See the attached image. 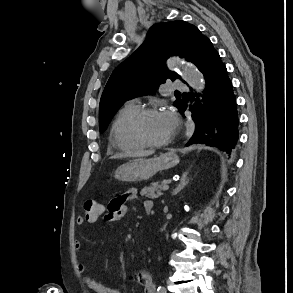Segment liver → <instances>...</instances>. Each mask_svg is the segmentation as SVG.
<instances>
[{
  "mask_svg": "<svg viewBox=\"0 0 293 293\" xmlns=\"http://www.w3.org/2000/svg\"><path fill=\"white\" fill-rule=\"evenodd\" d=\"M151 154H153L152 151H143V152H140L138 154V156H142L143 157V156H149ZM123 156H124L123 154H115L114 156L111 157V159H119V158H122Z\"/></svg>",
  "mask_w": 293,
  "mask_h": 293,
  "instance_id": "1",
  "label": "liver"
}]
</instances>
